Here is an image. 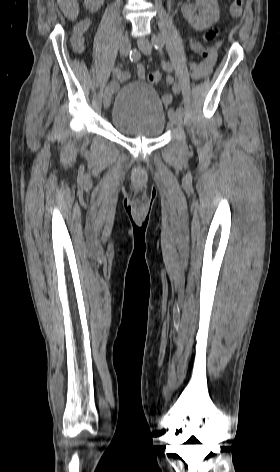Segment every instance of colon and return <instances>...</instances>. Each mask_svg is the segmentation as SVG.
<instances>
[{
  "label": "colon",
  "mask_w": 280,
  "mask_h": 472,
  "mask_svg": "<svg viewBox=\"0 0 280 472\" xmlns=\"http://www.w3.org/2000/svg\"><path fill=\"white\" fill-rule=\"evenodd\" d=\"M243 9V0H233L230 6V14L233 18H239L242 14ZM219 33L218 28H212L209 30L205 36L204 40L209 41L214 39ZM195 50L202 55L203 57H208L211 53V50L204 44L197 43ZM161 79V73L159 71H154L148 74L147 80L150 83H156Z\"/></svg>",
  "instance_id": "1"
}]
</instances>
